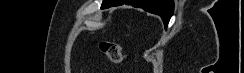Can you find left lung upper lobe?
<instances>
[{
  "mask_svg": "<svg viewBox=\"0 0 244 73\" xmlns=\"http://www.w3.org/2000/svg\"><path fill=\"white\" fill-rule=\"evenodd\" d=\"M106 1H107V0H103V3H102L101 8L103 7V5H105V4H106Z\"/></svg>",
  "mask_w": 244,
  "mask_h": 73,
  "instance_id": "5c2ea615",
  "label": "left lung upper lobe"
}]
</instances>
